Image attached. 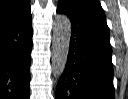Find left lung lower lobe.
<instances>
[{"label":"left lung lower lobe","mask_w":128,"mask_h":99,"mask_svg":"<svg viewBox=\"0 0 128 99\" xmlns=\"http://www.w3.org/2000/svg\"><path fill=\"white\" fill-rule=\"evenodd\" d=\"M57 12L69 16L72 32L56 99H115L112 48L104 12L74 0H59Z\"/></svg>","instance_id":"left-lung-lower-lobe-1"}]
</instances>
